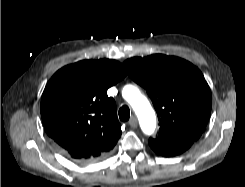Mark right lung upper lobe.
Listing matches in <instances>:
<instances>
[{"label": "right lung upper lobe", "instance_id": "cb5924a9", "mask_svg": "<svg viewBox=\"0 0 245 187\" xmlns=\"http://www.w3.org/2000/svg\"><path fill=\"white\" fill-rule=\"evenodd\" d=\"M126 75L115 60H83L49 80L41 98L42 122L67 156L89 163L112 151L122 131L107 90Z\"/></svg>", "mask_w": 245, "mask_h": 187}]
</instances>
